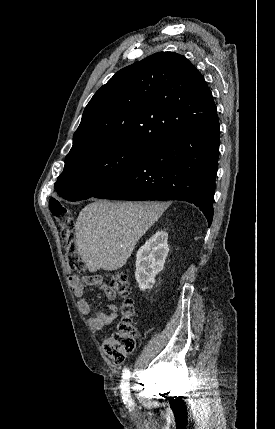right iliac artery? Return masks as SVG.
<instances>
[{"mask_svg":"<svg viewBox=\"0 0 275 429\" xmlns=\"http://www.w3.org/2000/svg\"><path fill=\"white\" fill-rule=\"evenodd\" d=\"M129 378H130V371L129 369H125L123 372V379L121 382V389L123 394V399L127 402H130V395H129Z\"/></svg>","mask_w":275,"mask_h":429,"instance_id":"82829eb1","label":"right iliac artery"}]
</instances>
